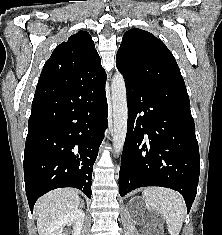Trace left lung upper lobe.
Returning a JSON list of instances; mask_svg holds the SVG:
<instances>
[{
    "instance_id": "5c2ea615",
    "label": "left lung upper lobe",
    "mask_w": 222,
    "mask_h": 235,
    "mask_svg": "<svg viewBox=\"0 0 222 235\" xmlns=\"http://www.w3.org/2000/svg\"><path fill=\"white\" fill-rule=\"evenodd\" d=\"M116 67L125 79L190 105L175 58L150 32L134 28L124 34L116 56Z\"/></svg>"
}]
</instances>
